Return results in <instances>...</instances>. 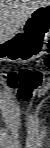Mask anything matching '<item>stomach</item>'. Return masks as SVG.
<instances>
[{
  "mask_svg": "<svg viewBox=\"0 0 50 148\" xmlns=\"http://www.w3.org/2000/svg\"><path fill=\"white\" fill-rule=\"evenodd\" d=\"M24 27V40L18 45L5 46L0 54V61L30 62L42 55L50 37V5L37 9Z\"/></svg>",
  "mask_w": 50,
  "mask_h": 148,
  "instance_id": "obj_1",
  "label": "stomach"
}]
</instances>
